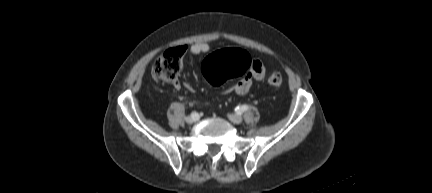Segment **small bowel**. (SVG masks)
I'll list each match as a JSON object with an SVG mask.
<instances>
[{
  "label": "small bowel",
  "instance_id": "small-bowel-1",
  "mask_svg": "<svg viewBox=\"0 0 432 193\" xmlns=\"http://www.w3.org/2000/svg\"><path fill=\"white\" fill-rule=\"evenodd\" d=\"M210 50V45L205 42L196 43L189 48V53L191 55H201L205 54ZM266 69L263 62L259 59H252L251 69L243 75L236 83L229 86L223 93L234 92L238 95H245L249 92L253 81H260L265 77ZM174 86L180 88V83L175 82Z\"/></svg>",
  "mask_w": 432,
  "mask_h": 193
}]
</instances>
